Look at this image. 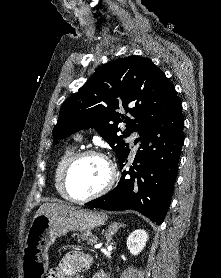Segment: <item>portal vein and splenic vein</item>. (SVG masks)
Instances as JSON below:
<instances>
[{
    "mask_svg": "<svg viewBox=\"0 0 221 278\" xmlns=\"http://www.w3.org/2000/svg\"><path fill=\"white\" fill-rule=\"evenodd\" d=\"M101 246H102V244L100 243V244L95 245V248H100Z\"/></svg>",
    "mask_w": 221,
    "mask_h": 278,
    "instance_id": "portal-vein-and-splenic-vein-1",
    "label": "portal vein and splenic vein"
}]
</instances>
